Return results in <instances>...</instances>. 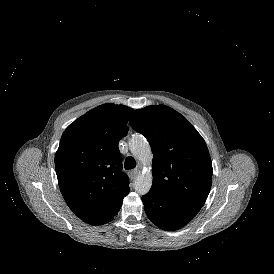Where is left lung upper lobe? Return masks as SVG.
<instances>
[{"label": "left lung upper lobe", "instance_id": "1", "mask_svg": "<svg viewBox=\"0 0 274 274\" xmlns=\"http://www.w3.org/2000/svg\"><path fill=\"white\" fill-rule=\"evenodd\" d=\"M149 141L153 156L151 189L201 208L212 184L205 141L188 120L165 105L136 110L129 121Z\"/></svg>", "mask_w": 274, "mask_h": 274}]
</instances>
